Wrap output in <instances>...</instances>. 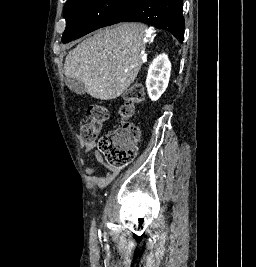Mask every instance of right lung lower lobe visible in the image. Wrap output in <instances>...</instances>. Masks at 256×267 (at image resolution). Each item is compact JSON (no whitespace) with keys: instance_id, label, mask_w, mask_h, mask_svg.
<instances>
[{"instance_id":"right-lung-lower-lobe-1","label":"right lung lower lobe","mask_w":256,"mask_h":267,"mask_svg":"<svg viewBox=\"0 0 256 267\" xmlns=\"http://www.w3.org/2000/svg\"><path fill=\"white\" fill-rule=\"evenodd\" d=\"M183 0H138L123 16L107 26L119 22H143L171 32L182 43L184 39Z\"/></svg>"}]
</instances>
